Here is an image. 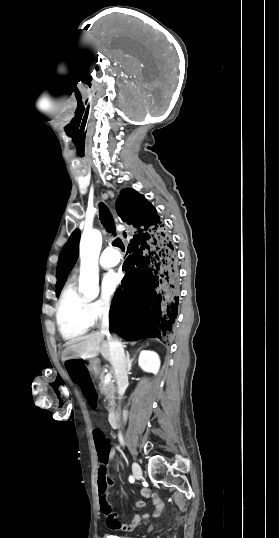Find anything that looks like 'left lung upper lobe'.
<instances>
[{"instance_id": "obj_1", "label": "left lung upper lobe", "mask_w": 279, "mask_h": 538, "mask_svg": "<svg viewBox=\"0 0 279 538\" xmlns=\"http://www.w3.org/2000/svg\"><path fill=\"white\" fill-rule=\"evenodd\" d=\"M79 239H80V231L76 229L71 237L69 238V241L64 245L60 256L59 261L57 265V284H56V294L59 296L64 283L66 281V278L72 268L74 267V264L78 258V245H79Z\"/></svg>"}]
</instances>
